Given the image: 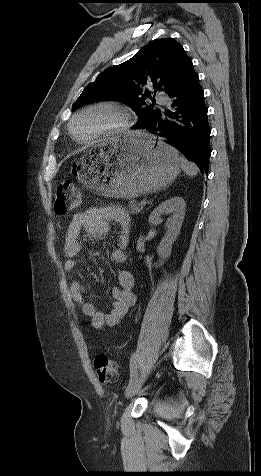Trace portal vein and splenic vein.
<instances>
[{"label":"portal vein and splenic vein","mask_w":261,"mask_h":476,"mask_svg":"<svg viewBox=\"0 0 261 476\" xmlns=\"http://www.w3.org/2000/svg\"><path fill=\"white\" fill-rule=\"evenodd\" d=\"M145 204H146V201H145V200H142V201L140 202V205H142V206L145 205Z\"/></svg>","instance_id":"obj_1"}]
</instances>
